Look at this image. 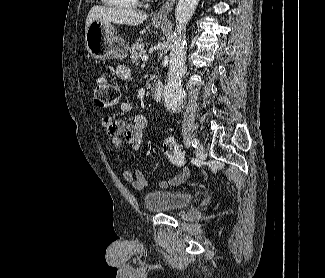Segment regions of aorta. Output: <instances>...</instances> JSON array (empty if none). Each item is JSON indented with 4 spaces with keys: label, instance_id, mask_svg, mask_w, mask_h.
Wrapping results in <instances>:
<instances>
[{
    "label": "aorta",
    "instance_id": "762f6f07",
    "mask_svg": "<svg viewBox=\"0 0 325 278\" xmlns=\"http://www.w3.org/2000/svg\"><path fill=\"white\" fill-rule=\"evenodd\" d=\"M198 3L199 0H178L176 5L175 41L171 45L168 81L164 87L165 105L171 110L179 109L183 102L184 91L181 82L186 72L184 32Z\"/></svg>",
    "mask_w": 325,
    "mask_h": 278
}]
</instances>
